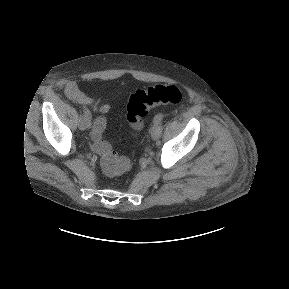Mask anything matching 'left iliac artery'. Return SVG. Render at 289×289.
Returning <instances> with one entry per match:
<instances>
[{"instance_id":"obj_1","label":"left iliac artery","mask_w":289,"mask_h":289,"mask_svg":"<svg viewBox=\"0 0 289 289\" xmlns=\"http://www.w3.org/2000/svg\"><path fill=\"white\" fill-rule=\"evenodd\" d=\"M163 117L164 115L162 113H159L154 117L153 122L156 124H161Z\"/></svg>"}]
</instances>
